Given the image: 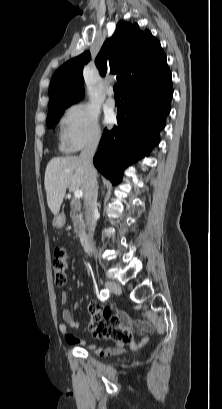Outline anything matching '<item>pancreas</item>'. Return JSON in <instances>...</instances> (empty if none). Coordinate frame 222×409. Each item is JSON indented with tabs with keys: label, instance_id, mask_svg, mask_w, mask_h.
<instances>
[{
	"label": "pancreas",
	"instance_id": "pancreas-1",
	"mask_svg": "<svg viewBox=\"0 0 222 409\" xmlns=\"http://www.w3.org/2000/svg\"><path fill=\"white\" fill-rule=\"evenodd\" d=\"M70 208V216L74 224V232L77 236L82 238L85 235V222L83 219L81 203L76 198H72Z\"/></svg>",
	"mask_w": 222,
	"mask_h": 409
}]
</instances>
